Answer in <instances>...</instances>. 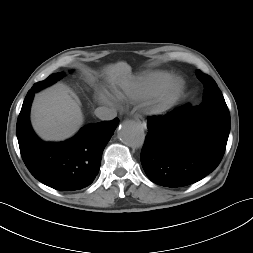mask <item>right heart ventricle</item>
<instances>
[{"label":"right heart ventricle","instance_id":"1","mask_svg":"<svg viewBox=\"0 0 253 253\" xmlns=\"http://www.w3.org/2000/svg\"><path fill=\"white\" fill-rule=\"evenodd\" d=\"M171 77L169 73H157L146 79L133 82L128 87L116 91L115 95L119 99H142L152 95L158 88L165 85Z\"/></svg>","mask_w":253,"mask_h":253}]
</instances>
